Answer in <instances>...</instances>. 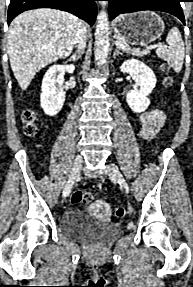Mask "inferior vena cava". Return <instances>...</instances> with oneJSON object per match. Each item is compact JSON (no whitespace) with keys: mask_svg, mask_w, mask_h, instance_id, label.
<instances>
[{"mask_svg":"<svg viewBox=\"0 0 193 287\" xmlns=\"http://www.w3.org/2000/svg\"><path fill=\"white\" fill-rule=\"evenodd\" d=\"M86 27L83 21L79 20L78 22V29L75 35L74 44L79 53L84 52L86 47Z\"/></svg>","mask_w":193,"mask_h":287,"instance_id":"obj_1","label":"inferior vena cava"}]
</instances>
